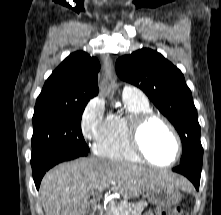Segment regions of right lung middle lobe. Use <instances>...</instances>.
<instances>
[{
    "mask_svg": "<svg viewBox=\"0 0 221 215\" xmlns=\"http://www.w3.org/2000/svg\"><path fill=\"white\" fill-rule=\"evenodd\" d=\"M87 103L44 102L35 105L31 165L56 151H89L81 131Z\"/></svg>",
    "mask_w": 221,
    "mask_h": 215,
    "instance_id": "1",
    "label": "right lung middle lobe"
}]
</instances>
